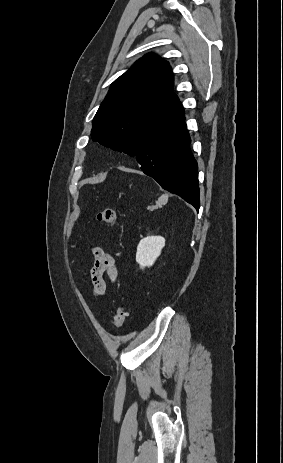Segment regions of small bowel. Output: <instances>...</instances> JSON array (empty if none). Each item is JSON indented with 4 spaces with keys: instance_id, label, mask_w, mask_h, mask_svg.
Here are the masks:
<instances>
[{
    "instance_id": "obj_1",
    "label": "small bowel",
    "mask_w": 283,
    "mask_h": 463,
    "mask_svg": "<svg viewBox=\"0 0 283 463\" xmlns=\"http://www.w3.org/2000/svg\"><path fill=\"white\" fill-rule=\"evenodd\" d=\"M94 257L93 265L88 274L84 275V282L88 278L92 284V292L96 297L103 296L107 289L105 275L111 283H115L118 277V271L115 265L114 257L100 247L92 249Z\"/></svg>"
}]
</instances>
